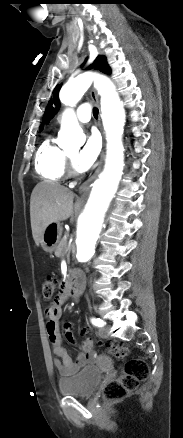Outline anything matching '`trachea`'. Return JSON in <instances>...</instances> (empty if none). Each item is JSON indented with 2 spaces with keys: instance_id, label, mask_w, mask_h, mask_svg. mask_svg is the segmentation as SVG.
<instances>
[{
  "instance_id": "3493384b",
  "label": "trachea",
  "mask_w": 183,
  "mask_h": 438,
  "mask_svg": "<svg viewBox=\"0 0 183 438\" xmlns=\"http://www.w3.org/2000/svg\"><path fill=\"white\" fill-rule=\"evenodd\" d=\"M93 116H94L95 118H98V109H97V108H94V109H93Z\"/></svg>"
}]
</instances>
